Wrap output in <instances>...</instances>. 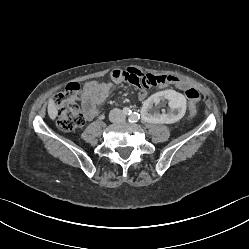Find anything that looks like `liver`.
<instances>
[{"label":"liver","mask_w":249,"mask_h":249,"mask_svg":"<svg viewBox=\"0 0 249 249\" xmlns=\"http://www.w3.org/2000/svg\"><path fill=\"white\" fill-rule=\"evenodd\" d=\"M48 115L51 120H54L58 115L56 104L52 99L48 101Z\"/></svg>","instance_id":"obj_1"}]
</instances>
